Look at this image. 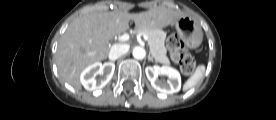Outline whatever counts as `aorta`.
Here are the masks:
<instances>
[{"instance_id": "1", "label": "aorta", "mask_w": 276, "mask_h": 120, "mask_svg": "<svg viewBox=\"0 0 276 120\" xmlns=\"http://www.w3.org/2000/svg\"><path fill=\"white\" fill-rule=\"evenodd\" d=\"M132 54L135 59L141 60L146 56V51L143 47L137 46L133 49Z\"/></svg>"}]
</instances>
